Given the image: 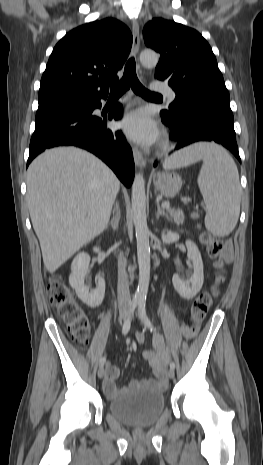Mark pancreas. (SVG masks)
Returning a JSON list of instances; mask_svg holds the SVG:
<instances>
[{"label":"pancreas","instance_id":"pancreas-1","mask_svg":"<svg viewBox=\"0 0 263 465\" xmlns=\"http://www.w3.org/2000/svg\"><path fill=\"white\" fill-rule=\"evenodd\" d=\"M168 214L170 215V218L174 220V222L177 225H182L184 222V213L180 209H169Z\"/></svg>","mask_w":263,"mask_h":465}]
</instances>
